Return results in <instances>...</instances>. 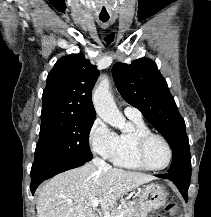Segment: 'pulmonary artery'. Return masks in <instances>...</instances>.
<instances>
[{
    "label": "pulmonary artery",
    "instance_id": "obj_1",
    "mask_svg": "<svg viewBox=\"0 0 211 217\" xmlns=\"http://www.w3.org/2000/svg\"><path fill=\"white\" fill-rule=\"evenodd\" d=\"M124 113L127 117H137V118L142 117L141 112L137 108H135L131 105L125 106Z\"/></svg>",
    "mask_w": 211,
    "mask_h": 217
}]
</instances>
